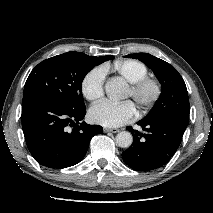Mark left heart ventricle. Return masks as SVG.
Segmentation results:
<instances>
[{
	"mask_svg": "<svg viewBox=\"0 0 213 213\" xmlns=\"http://www.w3.org/2000/svg\"><path fill=\"white\" fill-rule=\"evenodd\" d=\"M127 97H131L130 89H129L128 92H127Z\"/></svg>",
	"mask_w": 213,
	"mask_h": 213,
	"instance_id": "1",
	"label": "left heart ventricle"
}]
</instances>
